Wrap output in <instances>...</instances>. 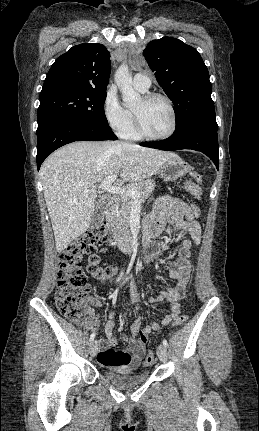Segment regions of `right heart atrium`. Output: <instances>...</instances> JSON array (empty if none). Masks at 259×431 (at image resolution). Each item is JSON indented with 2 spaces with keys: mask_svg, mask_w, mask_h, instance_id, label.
Wrapping results in <instances>:
<instances>
[{
  "mask_svg": "<svg viewBox=\"0 0 259 431\" xmlns=\"http://www.w3.org/2000/svg\"><path fill=\"white\" fill-rule=\"evenodd\" d=\"M102 113L107 125L112 130L120 133L131 119L130 112L120 103L114 87H110L105 94Z\"/></svg>",
  "mask_w": 259,
  "mask_h": 431,
  "instance_id": "right-heart-atrium-1",
  "label": "right heart atrium"
}]
</instances>
